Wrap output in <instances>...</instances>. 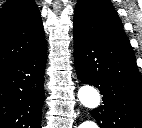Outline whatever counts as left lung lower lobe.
Returning a JSON list of instances; mask_svg holds the SVG:
<instances>
[{
  "instance_id": "1",
  "label": "left lung lower lobe",
  "mask_w": 142,
  "mask_h": 128,
  "mask_svg": "<svg viewBox=\"0 0 142 128\" xmlns=\"http://www.w3.org/2000/svg\"><path fill=\"white\" fill-rule=\"evenodd\" d=\"M74 59L79 79L104 96L91 113L100 128H142V77L133 51L74 27Z\"/></svg>"
}]
</instances>
